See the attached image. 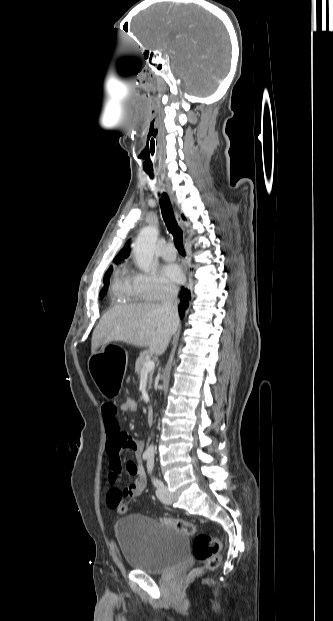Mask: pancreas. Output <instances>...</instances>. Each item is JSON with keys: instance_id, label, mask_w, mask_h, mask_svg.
Wrapping results in <instances>:
<instances>
[{"instance_id": "cf45deb5", "label": "pancreas", "mask_w": 333, "mask_h": 621, "mask_svg": "<svg viewBox=\"0 0 333 621\" xmlns=\"http://www.w3.org/2000/svg\"><path fill=\"white\" fill-rule=\"evenodd\" d=\"M148 352H142L138 358L136 359V363H135V372L137 375H140L143 368H144V364L146 363V361L149 359L148 358ZM153 370L150 371L149 373V387H151V383H152V375H153Z\"/></svg>"}]
</instances>
